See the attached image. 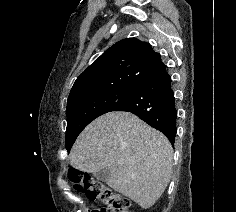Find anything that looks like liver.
<instances>
[{
    "instance_id": "liver-1",
    "label": "liver",
    "mask_w": 236,
    "mask_h": 212,
    "mask_svg": "<svg viewBox=\"0 0 236 212\" xmlns=\"http://www.w3.org/2000/svg\"><path fill=\"white\" fill-rule=\"evenodd\" d=\"M72 167L111 171L107 184L143 209L152 207L171 177L173 148L159 131L129 112H109L91 122L75 141Z\"/></svg>"
}]
</instances>
